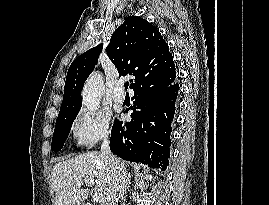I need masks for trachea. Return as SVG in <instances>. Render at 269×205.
Listing matches in <instances>:
<instances>
[{
  "instance_id": "obj_1",
  "label": "trachea",
  "mask_w": 269,
  "mask_h": 205,
  "mask_svg": "<svg viewBox=\"0 0 269 205\" xmlns=\"http://www.w3.org/2000/svg\"><path fill=\"white\" fill-rule=\"evenodd\" d=\"M128 86H129V83L126 82V83H125V89H128Z\"/></svg>"
}]
</instances>
